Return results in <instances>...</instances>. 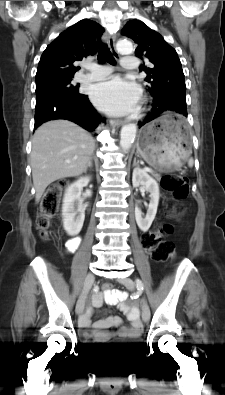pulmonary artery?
I'll return each mask as SVG.
<instances>
[{
	"label": "pulmonary artery",
	"mask_w": 225,
	"mask_h": 395,
	"mask_svg": "<svg viewBox=\"0 0 225 395\" xmlns=\"http://www.w3.org/2000/svg\"><path fill=\"white\" fill-rule=\"evenodd\" d=\"M137 59L132 56H126L121 60V66L126 70H134L137 68ZM91 72L81 77L82 81L94 82L106 79L112 69L107 66L93 65L90 67Z\"/></svg>",
	"instance_id": "obj_1"
}]
</instances>
